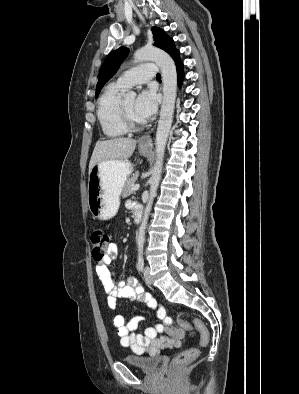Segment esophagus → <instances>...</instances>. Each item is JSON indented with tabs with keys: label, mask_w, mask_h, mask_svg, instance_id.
<instances>
[{
	"label": "esophagus",
	"mask_w": 299,
	"mask_h": 394,
	"mask_svg": "<svg viewBox=\"0 0 299 394\" xmlns=\"http://www.w3.org/2000/svg\"><path fill=\"white\" fill-rule=\"evenodd\" d=\"M139 145L143 148H150L152 146L148 135H144L139 139Z\"/></svg>",
	"instance_id": "esophagus-1"
}]
</instances>
